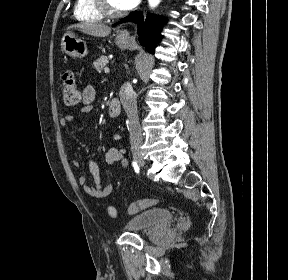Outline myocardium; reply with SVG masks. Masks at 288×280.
I'll return each instance as SVG.
<instances>
[{"label":"myocardium","mask_w":288,"mask_h":280,"mask_svg":"<svg viewBox=\"0 0 288 280\" xmlns=\"http://www.w3.org/2000/svg\"><path fill=\"white\" fill-rule=\"evenodd\" d=\"M94 1L99 12L105 17L116 18L122 14L119 10L113 9L110 6L108 0H94Z\"/></svg>","instance_id":"f54148a6"}]
</instances>
